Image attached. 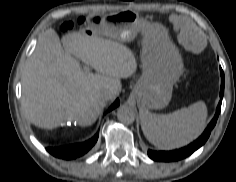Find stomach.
I'll return each mask as SVG.
<instances>
[{
	"mask_svg": "<svg viewBox=\"0 0 236 182\" xmlns=\"http://www.w3.org/2000/svg\"><path fill=\"white\" fill-rule=\"evenodd\" d=\"M90 25L94 29L92 33L119 41H131L138 32L143 34V71L131 98L141 110L165 107L171 100L173 85L183 73V60L166 29L131 10L115 15L92 16Z\"/></svg>",
	"mask_w": 236,
	"mask_h": 182,
	"instance_id": "stomach-1",
	"label": "stomach"
}]
</instances>
